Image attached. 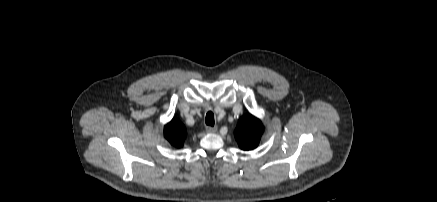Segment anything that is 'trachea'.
<instances>
[{
  "instance_id": "3493384b",
  "label": "trachea",
  "mask_w": 437,
  "mask_h": 202,
  "mask_svg": "<svg viewBox=\"0 0 437 202\" xmlns=\"http://www.w3.org/2000/svg\"><path fill=\"white\" fill-rule=\"evenodd\" d=\"M205 122L208 126H214V114L211 111L206 114Z\"/></svg>"
}]
</instances>
